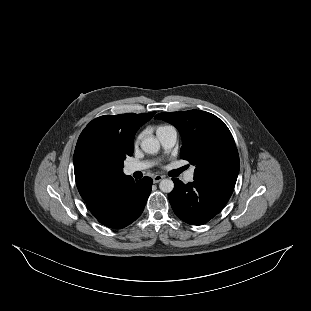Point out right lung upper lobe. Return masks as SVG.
<instances>
[{
	"instance_id": "cb5924a9",
	"label": "right lung upper lobe",
	"mask_w": 311,
	"mask_h": 311,
	"mask_svg": "<svg viewBox=\"0 0 311 311\" xmlns=\"http://www.w3.org/2000/svg\"><path fill=\"white\" fill-rule=\"evenodd\" d=\"M156 112L145 114L104 115L92 120L82 131L74 152V173L78 191L83 199L97 189L117 183L126 177L123 163L118 160L92 164L83 160L78 147L81 141L92 134H101L111 140L117 150L133 154L134 135Z\"/></svg>"
}]
</instances>
